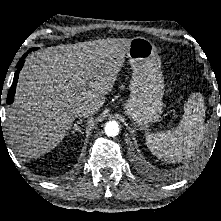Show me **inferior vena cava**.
I'll return each instance as SVG.
<instances>
[{
	"label": "inferior vena cava",
	"instance_id": "inferior-vena-cava-1",
	"mask_svg": "<svg viewBox=\"0 0 221 221\" xmlns=\"http://www.w3.org/2000/svg\"><path fill=\"white\" fill-rule=\"evenodd\" d=\"M96 108L87 104L77 108L76 114L81 118H88L96 113Z\"/></svg>",
	"mask_w": 221,
	"mask_h": 221
}]
</instances>
